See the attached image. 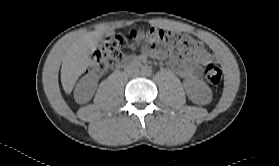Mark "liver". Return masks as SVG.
<instances>
[{"label":"liver","instance_id":"1","mask_svg":"<svg viewBox=\"0 0 279 166\" xmlns=\"http://www.w3.org/2000/svg\"><path fill=\"white\" fill-rule=\"evenodd\" d=\"M102 31H91L74 39L63 56L61 82L66 93L73 87L91 63V55L97 48Z\"/></svg>","mask_w":279,"mask_h":166}]
</instances>
